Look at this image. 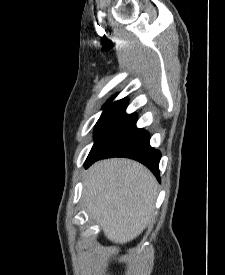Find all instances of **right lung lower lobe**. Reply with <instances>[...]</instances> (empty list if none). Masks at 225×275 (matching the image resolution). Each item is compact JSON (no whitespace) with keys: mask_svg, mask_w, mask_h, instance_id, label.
Masks as SVG:
<instances>
[{"mask_svg":"<svg viewBox=\"0 0 225 275\" xmlns=\"http://www.w3.org/2000/svg\"><path fill=\"white\" fill-rule=\"evenodd\" d=\"M136 116L127 117L114 128L88 156L85 168L97 160L110 157H126L147 166L159 179V160L161 154L149 144V134L136 128Z\"/></svg>","mask_w":225,"mask_h":275,"instance_id":"1","label":"right lung lower lobe"}]
</instances>
